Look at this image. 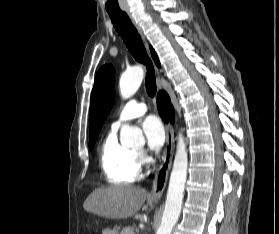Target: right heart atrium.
<instances>
[{"label": "right heart atrium", "instance_id": "d8ad5b80", "mask_svg": "<svg viewBox=\"0 0 279 234\" xmlns=\"http://www.w3.org/2000/svg\"><path fill=\"white\" fill-rule=\"evenodd\" d=\"M137 157L140 165H144L148 162V158L144 152L137 153Z\"/></svg>", "mask_w": 279, "mask_h": 234}]
</instances>
